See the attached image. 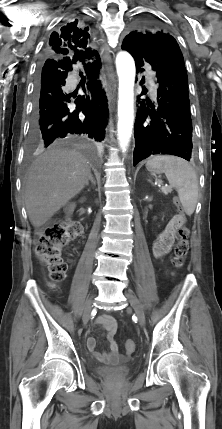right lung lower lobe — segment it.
I'll return each instance as SVG.
<instances>
[{"label": "right lung lower lobe", "mask_w": 222, "mask_h": 429, "mask_svg": "<svg viewBox=\"0 0 222 429\" xmlns=\"http://www.w3.org/2000/svg\"><path fill=\"white\" fill-rule=\"evenodd\" d=\"M76 63L68 58L46 59L36 80V98L31 120V135L45 147L52 143H73L79 135L101 142L108 118L105 92L97 80L100 58L85 64L89 75L87 96L68 93L66 78ZM75 98V107L69 105Z\"/></svg>", "instance_id": "obj_1"}]
</instances>
